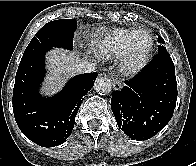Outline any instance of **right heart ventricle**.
<instances>
[{
  "instance_id": "e07e8e85",
  "label": "right heart ventricle",
  "mask_w": 196,
  "mask_h": 166,
  "mask_svg": "<svg viewBox=\"0 0 196 166\" xmlns=\"http://www.w3.org/2000/svg\"><path fill=\"white\" fill-rule=\"evenodd\" d=\"M132 29L113 28L98 33L91 41L92 52L101 59L119 58L125 48V40Z\"/></svg>"
}]
</instances>
